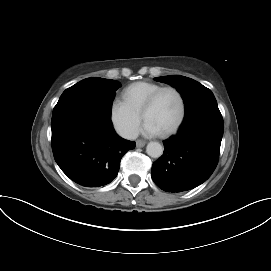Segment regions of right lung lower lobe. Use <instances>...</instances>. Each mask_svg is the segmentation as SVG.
<instances>
[{
  "instance_id": "1",
  "label": "right lung lower lobe",
  "mask_w": 271,
  "mask_h": 271,
  "mask_svg": "<svg viewBox=\"0 0 271 271\" xmlns=\"http://www.w3.org/2000/svg\"><path fill=\"white\" fill-rule=\"evenodd\" d=\"M110 117L103 109H92L51 121L55 161L79 185L109 184L123 155L135 147L115 133Z\"/></svg>"
}]
</instances>
